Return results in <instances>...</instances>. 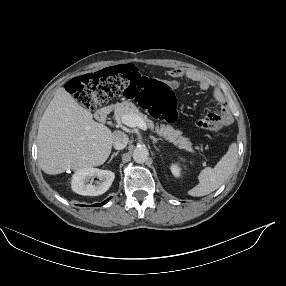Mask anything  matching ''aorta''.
<instances>
[{"label": "aorta", "mask_w": 286, "mask_h": 286, "mask_svg": "<svg viewBox=\"0 0 286 286\" xmlns=\"http://www.w3.org/2000/svg\"><path fill=\"white\" fill-rule=\"evenodd\" d=\"M149 156L148 149L144 146L136 147L133 152V159L136 163H144Z\"/></svg>", "instance_id": "762f6f07"}]
</instances>
